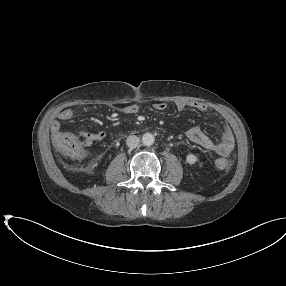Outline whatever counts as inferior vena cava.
Wrapping results in <instances>:
<instances>
[{
  "mask_svg": "<svg viewBox=\"0 0 286 286\" xmlns=\"http://www.w3.org/2000/svg\"><path fill=\"white\" fill-rule=\"evenodd\" d=\"M140 143V139L139 137L135 136V135H131L127 138L126 140V144L129 148H136Z\"/></svg>",
  "mask_w": 286,
  "mask_h": 286,
  "instance_id": "inferior-vena-cava-1",
  "label": "inferior vena cava"
}]
</instances>
